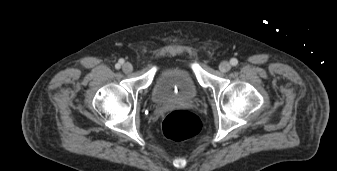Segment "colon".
Wrapping results in <instances>:
<instances>
[{
  "mask_svg": "<svg viewBox=\"0 0 337 171\" xmlns=\"http://www.w3.org/2000/svg\"><path fill=\"white\" fill-rule=\"evenodd\" d=\"M202 128L199 117L188 110H174L162 122L163 134L171 140L182 141L196 136Z\"/></svg>",
  "mask_w": 337,
  "mask_h": 171,
  "instance_id": "colon-1",
  "label": "colon"
}]
</instances>
